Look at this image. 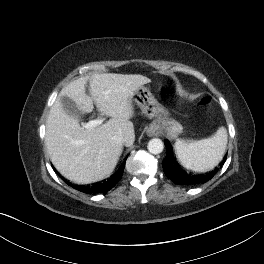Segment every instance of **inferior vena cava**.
Listing matches in <instances>:
<instances>
[{
	"label": "inferior vena cava",
	"instance_id": "1",
	"mask_svg": "<svg viewBox=\"0 0 264 264\" xmlns=\"http://www.w3.org/2000/svg\"><path fill=\"white\" fill-rule=\"evenodd\" d=\"M112 141L123 145V144H126L127 140L124 137L114 136V137H112Z\"/></svg>",
	"mask_w": 264,
	"mask_h": 264
}]
</instances>
